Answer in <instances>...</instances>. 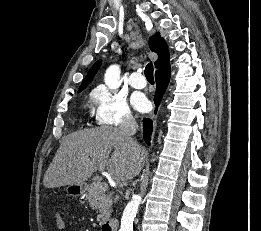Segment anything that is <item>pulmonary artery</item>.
<instances>
[{"mask_svg": "<svg viewBox=\"0 0 261 231\" xmlns=\"http://www.w3.org/2000/svg\"><path fill=\"white\" fill-rule=\"evenodd\" d=\"M129 83L135 89H143L146 86V80L140 71H135L131 74Z\"/></svg>", "mask_w": 261, "mask_h": 231, "instance_id": "1", "label": "pulmonary artery"}]
</instances>
